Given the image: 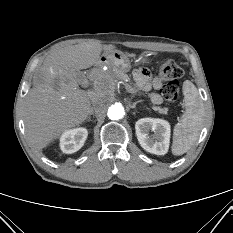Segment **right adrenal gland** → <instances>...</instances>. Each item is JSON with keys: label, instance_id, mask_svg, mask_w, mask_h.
Instances as JSON below:
<instances>
[{"label": "right adrenal gland", "instance_id": "2a0ac1e0", "mask_svg": "<svg viewBox=\"0 0 233 233\" xmlns=\"http://www.w3.org/2000/svg\"><path fill=\"white\" fill-rule=\"evenodd\" d=\"M92 115L94 116V111H93V109L90 110L89 116H88V118H87V120H86L87 122H89V121L91 120V116H92Z\"/></svg>", "mask_w": 233, "mask_h": 233}]
</instances>
